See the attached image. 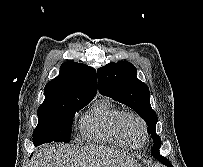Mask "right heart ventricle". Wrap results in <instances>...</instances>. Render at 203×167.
Masks as SVG:
<instances>
[{
    "mask_svg": "<svg viewBox=\"0 0 203 167\" xmlns=\"http://www.w3.org/2000/svg\"><path fill=\"white\" fill-rule=\"evenodd\" d=\"M125 111L110 100L96 102L80 120L81 134L92 140L132 147L119 130V120Z\"/></svg>",
    "mask_w": 203,
    "mask_h": 167,
    "instance_id": "1",
    "label": "right heart ventricle"
}]
</instances>
